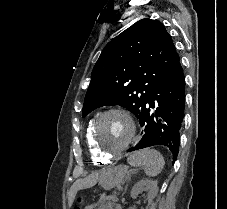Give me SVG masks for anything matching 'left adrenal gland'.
Returning a JSON list of instances; mask_svg holds the SVG:
<instances>
[{
  "instance_id": "1",
  "label": "left adrenal gland",
  "mask_w": 227,
  "mask_h": 209,
  "mask_svg": "<svg viewBox=\"0 0 227 209\" xmlns=\"http://www.w3.org/2000/svg\"><path fill=\"white\" fill-rule=\"evenodd\" d=\"M131 175H133V171H128V173L126 175V181H131ZM126 189H127V187H125L123 195H125Z\"/></svg>"
}]
</instances>
